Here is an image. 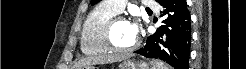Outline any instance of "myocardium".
Segmentation results:
<instances>
[{
	"label": "myocardium",
	"instance_id": "1",
	"mask_svg": "<svg viewBox=\"0 0 246 69\" xmlns=\"http://www.w3.org/2000/svg\"><path fill=\"white\" fill-rule=\"evenodd\" d=\"M121 21H127V19L124 16H122V15H115L108 22L106 30H105V41H106V44L108 45V47L111 50H114V51H119L120 52V51L134 50V49H136L139 46V41L138 40L133 45L128 46V47H119V46L115 45L114 42L112 41V33H113L114 28H115V25L118 22H121Z\"/></svg>",
	"mask_w": 246,
	"mask_h": 69
}]
</instances>
